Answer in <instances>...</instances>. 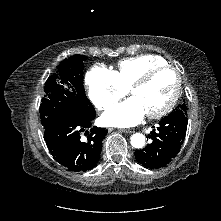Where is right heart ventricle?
Returning <instances> with one entry per match:
<instances>
[{
	"instance_id": "right-heart-ventricle-1",
	"label": "right heart ventricle",
	"mask_w": 221,
	"mask_h": 221,
	"mask_svg": "<svg viewBox=\"0 0 221 221\" xmlns=\"http://www.w3.org/2000/svg\"><path fill=\"white\" fill-rule=\"evenodd\" d=\"M164 64H167V62L160 56L152 54L138 55L120 60L114 73L121 85L128 89L148 69Z\"/></svg>"
}]
</instances>
